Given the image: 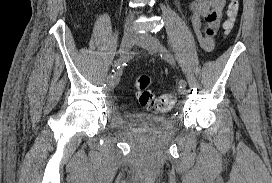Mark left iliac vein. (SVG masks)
Here are the masks:
<instances>
[{"label": "left iliac vein", "mask_w": 272, "mask_h": 183, "mask_svg": "<svg viewBox=\"0 0 272 183\" xmlns=\"http://www.w3.org/2000/svg\"><path fill=\"white\" fill-rule=\"evenodd\" d=\"M136 44L147 49L151 54H156L159 51L158 41L148 33L139 34L136 37ZM186 88H180V94H186Z\"/></svg>", "instance_id": "obj_1"}]
</instances>
